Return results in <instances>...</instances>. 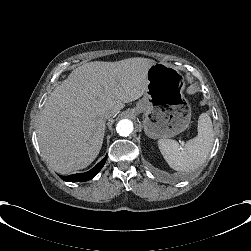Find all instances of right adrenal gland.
<instances>
[{
    "instance_id": "1",
    "label": "right adrenal gland",
    "mask_w": 251,
    "mask_h": 251,
    "mask_svg": "<svg viewBox=\"0 0 251 251\" xmlns=\"http://www.w3.org/2000/svg\"><path fill=\"white\" fill-rule=\"evenodd\" d=\"M104 133H105V134L107 133V128H106V127L104 128Z\"/></svg>"
}]
</instances>
